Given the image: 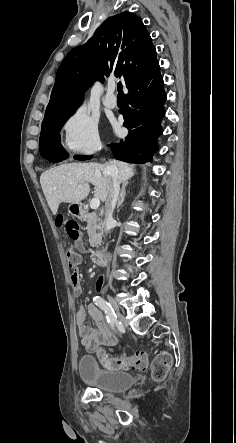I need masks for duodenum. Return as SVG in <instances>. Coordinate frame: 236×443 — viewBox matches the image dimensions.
Listing matches in <instances>:
<instances>
[{"instance_id": "obj_1", "label": "duodenum", "mask_w": 236, "mask_h": 443, "mask_svg": "<svg viewBox=\"0 0 236 443\" xmlns=\"http://www.w3.org/2000/svg\"><path fill=\"white\" fill-rule=\"evenodd\" d=\"M85 213L84 207L82 205H76L75 214L77 216H83ZM92 262L97 266L107 265V260L103 257L101 252L95 251L91 254Z\"/></svg>"}]
</instances>
